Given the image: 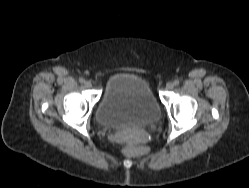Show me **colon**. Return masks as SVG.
Wrapping results in <instances>:
<instances>
[{
	"instance_id": "5ec220e1",
	"label": "colon",
	"mask_w": 249,
	"mask_h": 188,
	"mask_svg": "<svg viewBox=\"0 0 249 188\" xmlns=\"http://www.w3.org/2000/svg\"><path fill=\"white\" fill-rule=\"evenodd\" d=\"M138 140L134 137L129 138L123 145L124 150L132 152L133 149L137 146Z\"/></svg>"
}]
</instances>
